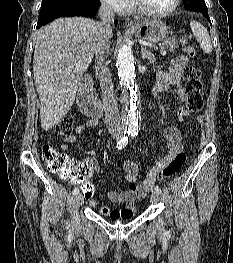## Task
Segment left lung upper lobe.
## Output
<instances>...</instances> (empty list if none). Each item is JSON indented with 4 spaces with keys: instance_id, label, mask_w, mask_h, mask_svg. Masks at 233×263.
<instances>
[{
    "instance_id": "obj_1",
    "label": "left lung upper lobe",
    "mask_w": 233,
    "mask_h": 263,
    "mask_svg": "<svg viewBox=\"0 0 233 263\" xmlns=\"http://www.w3.org/2000/svg\"><path fill=\"white\" fill-rule=\"evenodd\" d=\"M185 8L190 11L204 12L207 6L204 0H183Z\"/></svg>"
}]
</instances>
